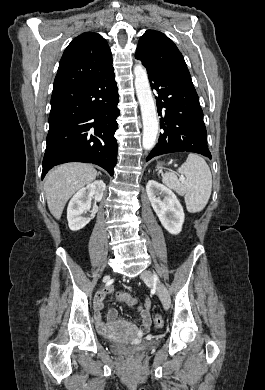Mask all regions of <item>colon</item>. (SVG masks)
Returning <instances> with one entry per match:
<instances>
[{
    "mask_svg": "<svg viewBox=\"0 0 265 390\" xmlns=\"http://www.w3.org/2000/svg\"><path fill=\"white\" fill-rule=\"evenodd\" d=\"M116 300L119 302H124L128 304L131 307H134L137 304V301L129 294L126 292H120L116 295ZM154 325L156 328H160L163 325V319L161 316L156 315L154 317Z\"/></svg>",
    "mask_w": 265,
    "mask_h": 390,
    "instance_id": "5ec220e1",
    "label": "colon"
}]
</instances>
